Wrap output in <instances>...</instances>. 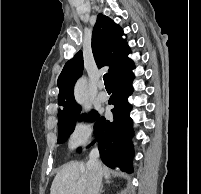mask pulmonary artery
Instances as JSON below:
<instances>
[{"mask_svg": "<svg viewBox=\"0 0 201 194\" xmlns=\"http://www.w3.org/2000/svg\"><path fill=\"white\" fill-rule=\"evenodd\" d=\"M102 90L99 92L98 94V99L101 101V102H105L108 100V94L106 93L105 90H103V85L101 86Z\"/></svg>", "mask_w": 201, "mask_h": 194, "instance_id": "1", "label": "pulmonary artery"}]
</instances>
